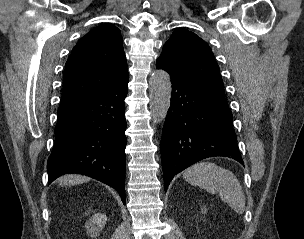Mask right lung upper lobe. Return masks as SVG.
<instances>
[{"label": "right lung upper lobe", "instance_id": "1", "mask_svg": "<svg viewBox=\"0 0 304 239\" xmlns=\"http://www.w3.org/2000/svg\"><path fill=\"white\" fill-rule=\"evenodd\" d=\"M120 30L112 24L90 30L73 48L63 78L59 108L80 102L128 75Z\"/></svg>", "mask_w": 304, "mask_h": 239}]
</instances>
